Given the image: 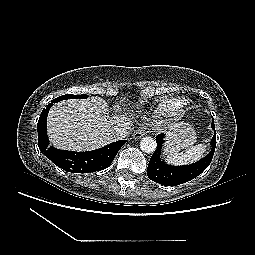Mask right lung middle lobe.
Returning a JSON list of instances; mask_svg holds the SVG:
<instances>
[{"label": "right lung middle lobe", "instance_id": "right-lung-middle-lobe-1", "mask_svg": "<svg viewBox=\"0 0 255 255\" xmlns=\"http://www.w3.org/2000/svg\"><path fill=\"white\" fill-rule=\"evenodd\" d=\"M74 98L85 99V98H87V96L85 94H83V95H73V94L62 95V96H59V97L55 98L54 100H52V103L49 104L48 106L51 107L53 103H56V102H59V101L65 100V99H74Z\"/></svg>", "mask_w": 255, "mask_h": 255}]
</instances>
